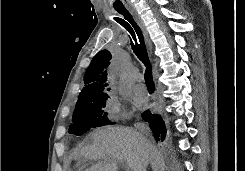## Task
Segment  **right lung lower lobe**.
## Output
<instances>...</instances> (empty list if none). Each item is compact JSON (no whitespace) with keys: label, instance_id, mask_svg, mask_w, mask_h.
Instances as JSON below:
<instances>
[{"label":"right lung lower lobe","instance_id":"1","mask_svg":"<svg viewBox=\"0 0 245 171\" xmlns=\"http://www.w3.org/2000/svg\"><path fill=\"white\" fill-rule=\"evenodd\" d=\"M141 116L142 119L149 124L154 138L159 142H163L166 138L167 131L162 117L152 114L149 110L143 112Z\"/></svg>","mask_w":245,"mask_h":171}]
</instances>
